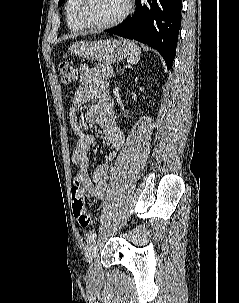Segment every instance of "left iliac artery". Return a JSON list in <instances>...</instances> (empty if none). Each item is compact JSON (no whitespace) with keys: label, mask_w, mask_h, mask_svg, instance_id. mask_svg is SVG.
I'll return each mask as SVG.
<instances>
[{"label":"left iliac artery","mask_w":239,"mask_h":303,"mask_svg":"<svg viewBox=\"0 0 239 303\" xmlns=\"http://www.w3.org/2000/svg\"><path fill=\"white\" fill-rule=\"evenodd\" d=\"M96 237H97V234H96V233L90 234V235L88 236V238H87V242H88V243L93 242V241L95 240Z\"/></svg>","instance_id":"44dca946"}]
</instances>
